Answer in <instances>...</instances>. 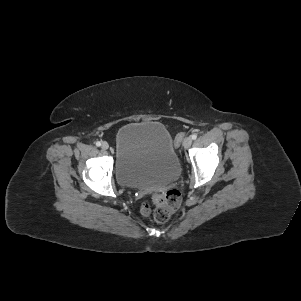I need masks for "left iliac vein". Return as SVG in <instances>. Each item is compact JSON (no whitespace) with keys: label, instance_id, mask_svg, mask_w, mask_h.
Here are the masks:
<instances>
[{"label":"left iliac vein","instance_id":"4c4485c4","mask_svg":"<svg viewBox=\"0 0 301 301\" xmlns=\"http://www.w3.org/2000/svg\"><path fill=\"white\" fill-rule=\"evenodd\" d=\"M192 144V138L190 136L186 137L183 142L184 148H189Z\"/></svg>","mask_w":301,"mask_h":301}]
</instances>
